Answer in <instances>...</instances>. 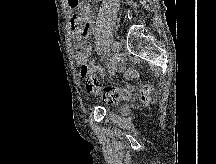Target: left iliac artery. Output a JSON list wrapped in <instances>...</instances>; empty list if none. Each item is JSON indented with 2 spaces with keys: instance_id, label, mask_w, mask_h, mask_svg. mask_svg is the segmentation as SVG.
Returning <instances> with one entry per match:
<instances>
[{
  "instance_id": "obj_1",
  "label": "left iliac artery",
  "mask_w": 216,
  "mask_h": 164,
  "mask_svg": "<svg viewBox=\"0 0 216 164\" xmlns=\"http://www.w3.org/2000/svg\"><path fill=\"white\" fill-rule=\"evenodd\" d=\"M117 55L114 53L111 57V59H109V62L107 63L108 67H111L112 65H116L117 61L113 59V57L115 58ZM110 57V55H108L107 59Z\"/></svg>"
}]
</instances>
